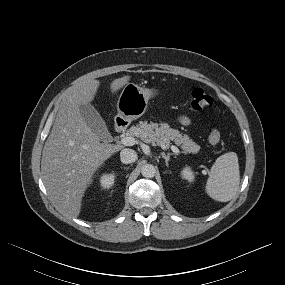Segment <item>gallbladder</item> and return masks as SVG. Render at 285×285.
Returning a JSON list of instances; mask_svg holds the SVG:
<instances>
[{
  "instance_id": "obj_1",
  "label": "gallbladder",
  "mask_w": 285,
  "mask_h": 285,
  "mask_svg": "<svg viewBox=\"0 0 285 285\" xmlns=\"http://www.w3.org/2000/svg\"><path fill=\"white\" fill-rule=\"evenodd\" d=\"M80 113L87 126L99 137L100 140L111 141V134L105 124V121L97 110L89 103L80 106Z\"/></svg>"
}]
</instances>
